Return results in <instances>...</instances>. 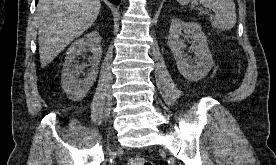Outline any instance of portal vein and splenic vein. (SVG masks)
<instances>
[{"label":"portal vein and splenic vein","mask_w":276,"mask_h":165,"mask_svg":"<svg viewBox=\"0 0 276 165\" xmlns=\"http://www.w3.org/2000/svg\"><path fill=\"white\" fill-rule=\"evenodd\" d=\"M199 10H200V12H202V13H209L208 10H206V9H204V8H202V7H200Z\"/></svg>","instance_id":"1"}]
</instances>
